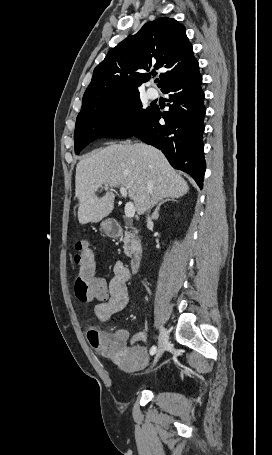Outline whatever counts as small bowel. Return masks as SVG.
<instances>
[{
	"instance_id": "1",
	"label": "small bowel",
	"mask_w": 272,
	"mask_h": 455,
	"mask_svg": "<svg viewBox=\"0 0 272 455\" xmlns=\"http://www.w3.org/2000/svg\"><path fill=\"white\" fill-rule=\"evenodd\" d=\"M113 277L107 285L108 295L95 306V314L101 321H107L117 316L127 306L129 294L127 282L130 279V270L120 261L113 266ZM115 339L128 344L130 348L128 365L124 369L127 374H132L145 368L149 363V354L146 348L139 346V342H145L147 335L139 332L130 336L124 329H119L114 334Z\"/></svg>"
}]
</instances>
